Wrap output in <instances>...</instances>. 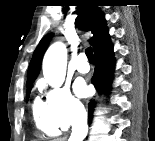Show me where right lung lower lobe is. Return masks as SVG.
Masks as SVG:
<instances>
[{"label":"right lung lower lobe","mask_w":155,"mask_h":141,"mask_svg":"<svg viewBox=\"0 0 155 141\" xmlns=\"http://www.w3.org/2000/svg\"><path fill=\"white\" fill-rule=\"evenodd\" d=\"M96 59L95 71L92 77V84L101 91H108L111 85L112 73L114 71L115 60L113 58V45L110 41L109 33L106 32L93 45ZM94 108V101L89 104V123L91 122Z\"/></svg>","instance_id":"obj_1"}]
</instances>
